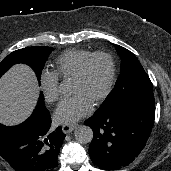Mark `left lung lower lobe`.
<instances>
[{"mask_svg": "<svg viewBox=\"0 0 171 171\" xmlns=\"http://www.w3.org/2000/svg\"><path fill=\"white\" fill-rule=\"evenodd\" d=\"M154 117L155 103L131 102L86 120L94 133L89 147L93 163L105 170L130 164L145 147Z\"/></svg>", "mask_w": 171, "mask_h": 171, "instance_id": "left-lung-lower-lobe-1", "label": "left lung lower lobe"}]
</instances>
